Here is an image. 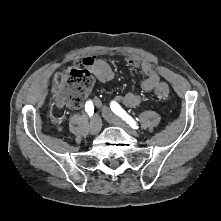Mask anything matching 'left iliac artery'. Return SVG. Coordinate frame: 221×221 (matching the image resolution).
<instances>
[{
    "instance_id": "44dca946",
    "label": "left iliac artery",
    "mask_w": 221,
    "mask_h": 221,
    "mask_svg": "<svg viewBox=\"0 0 221 221\" xmlns=\"http://www.w3.org/2000/svg\"><path fill=\"white\" fill-rule=\"evenodd\" d=\"M111 110L121 117L123 120L126 121L127 124H129L133 129H138V124L137 122L126 113V111L116 102L112 101L110 103Z\"/></svg>"
}]
</instances>
